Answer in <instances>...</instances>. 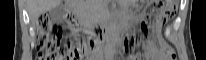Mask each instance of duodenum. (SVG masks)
<instances>
[{"label": "duodenum", "mask_w": 206, "mask_h": 60, "mask_svg": "<svg viewBox=\"0 0 206 60\" xmlns=\"http://www.w3.org/2000/svg\"><path fill=\"white\" fill-rule=\"evenodd\" d=\"M66 17L70 23H72V28H82L83 24L78 23V19L75 13V5L69 4L66 10ZM122 28V27H121ZM89 29L94 32L96 37L100 40L102 37H106V34H116L117 37L121 36V29L117 27L116 29H104L102 26H90Z\"/></svg>", "instance_id": "410a0bca"}]
</instances>
